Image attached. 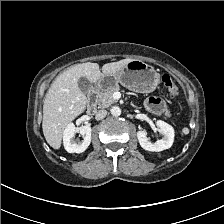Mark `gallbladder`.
Instances as JSON below:
<instances>
[{"label": "gallbladder", "mask_w": 224, "mask_h": 224, "mask_svg": "<svg viewBox=\"0 0 224 224\" xmlns=\"http://www.w3.org/2000/svg\"><path fill=\"white\" fill-rule=\"evenodd\" d=\"M79 89L85 94L88 95L90 88H91V82L86 77H80L77 81Z\"/></svg>", "instance_id": "1"}]
</instances>
